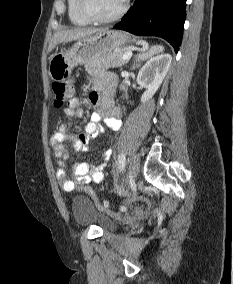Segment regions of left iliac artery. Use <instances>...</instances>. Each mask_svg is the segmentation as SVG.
<instances>
[{"label": "left iliac artery", "mask_w": 233, "mask_h": 284, "mask_svg": "<svg viewBox=\"0 0 233 284\" xmlns=\"http://www.w3.org/2000/svg\"><path fill=\"white\" fill-rule=\"evenodd\" d=\"M125 161H126L125 154H124V153H121V154L118 156V165H119L120 171H123V170H124V168H125Z\"/></svg>", "instance_id": "obj_1"}]
</instances>
